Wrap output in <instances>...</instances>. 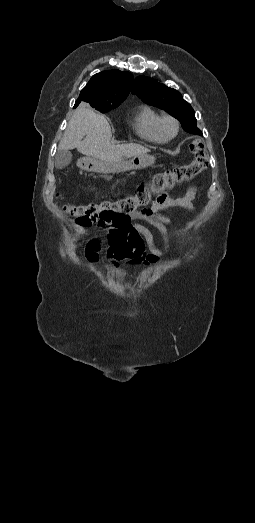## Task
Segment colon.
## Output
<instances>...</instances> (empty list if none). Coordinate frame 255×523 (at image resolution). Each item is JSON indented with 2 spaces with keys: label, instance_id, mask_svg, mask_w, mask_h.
Listing matches in <instances>:
<instances>
[{
  "label": "colon",
  "instance_id": "colon-1",
  "mask_svg": "<svg viewBox=\"0 0 255 523\" xmlns=\"http://www.w3.org/2000/svg\"><path fill=\"white\" fill-rule=\"evenodd\" d=\"M190 152L193 160L185 165L155 174L148 182L140 183L134 194L116 201H103L86 205H64L66 213L77 218L83 225L103 222L119 227L127 223L131 213L146 209L153 197L159 201L166 197L168 192L178 184L190 181L208 166V157L204 144L200 140L190 143Z\"/></svg>",
  "mask_w": 255,
  "mask_h": 523
}]
</instances>
